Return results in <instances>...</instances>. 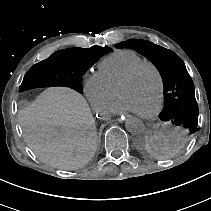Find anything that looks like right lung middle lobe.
<instances>
[{"label": "right lung middle lobe", "mask_w": 211, "mask_h": 211, "mask_svg": "<svg viewBox=\"0 0 211 211\" xmlns=\"http://www.w3.org/2000/svg\"><path fill=\"white\" fill-rule=\"evenodd\" d=\"M111 51L99 46L59 50L29 69L23 79L22 91L40 87L66 86L82 93L84 73L103 55Z\"/></svg>", "instance_id": "right-lung-middle-lobe-1"}]
</instances>
